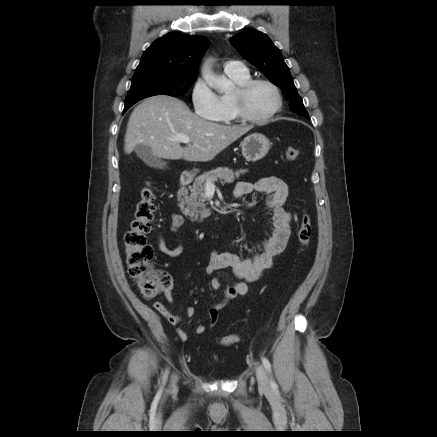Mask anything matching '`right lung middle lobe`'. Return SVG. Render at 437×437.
Wrapping results in <instances>:
<instances>
[{
  "label": "right lung middle lobe",
  "mask_w": 437,
  "mask_h": 437,
  "mask_svg": "<svg viewBox=\"0 0 437 437\" xmlns=\"http://www.w3.org/2000/svg\"><path fill=\"white\" fill-rule=\"evenodd\" d=\"M196 76H177L149 69L135 72L125 99L123 114L136 102L154 95L178 97L184 95Z\"/></svg>",
  "instance_id": "dd1d6c3e"
}]
</instances>
